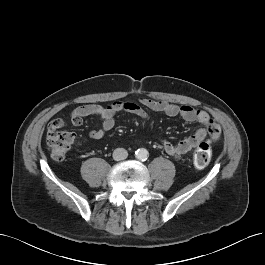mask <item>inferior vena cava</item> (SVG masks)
<instances>
[{
  "label": "inferior vena cava",
  "instance_id": "602c4592",
  "mask_svg": "<svg viewBox=\"0 0 265 265\" xmlns=\"http://www.w3.org/2000/svg\"><path fill=\"white\" fill-rule=\"evenodd\" d=\"M127 156L128 152L124 148H117L113 152V159L116 161L124 160L127 158Z\"/></svg>",
  "mask_w": 265,
  "mask_h": 265
}]
</instances>
